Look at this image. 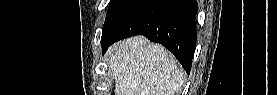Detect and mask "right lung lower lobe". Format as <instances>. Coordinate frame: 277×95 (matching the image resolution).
Masks as SVG:
<instances>
[{
	"instance_id": "98d812e1",
	"label": "right lung lower lobe",
	"mask_w": 277,
	"mask_h": 95,
	"mask_svg": "<svg viewBox=\"0 0 277 95\" xmlns=\"http://www.w3.org/2000/svg\"><path fill=\"white\" fill-rule=\"evenodd\" d=\"M196 0H145L102 42V52L121 39L144 35L171 51L186 72L196 45Z\"/></svg>"
}]
</instances>
